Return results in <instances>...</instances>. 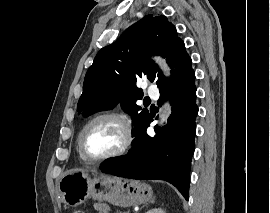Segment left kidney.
Here are the masks:
<instances>
[{
  "mask_svg": "<svg viewBox=\"0 0 270 213\" xmlns=\"http://www.w3.org/2000/svg\"><path fill=\"white\" fill-rule=\"evenodd\" d=\"M146 213H165V211L161 208H154V209L147 211Z\"/></svg>",
  "mask_w": 270,
  "mask_h": 213,
  "instance_id": "1",
  "label": "left kidney"
}]
</instances>
